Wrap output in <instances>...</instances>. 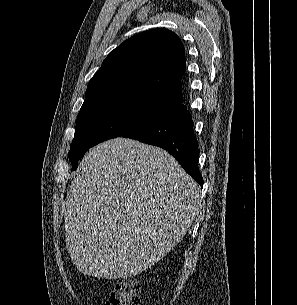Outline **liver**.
Wrapping results in <instances>:
<instances>
[{"label": "liver", "instance_id": "6515ba94", "mask_svg": "<svg viewBox=\"0 0 297 305\" xmlns=\"http://www.w3.org/2000/svg\"><path fill=\"white\" fill-rule=\"evenodd\" d=\"M200 208L198 184L168 152L108 140L84 156L67 192L68 253L85 275L134 277L182 240Z\"/></svg>", "mask_w": 297, "mask_h": 305}]
</instances>
